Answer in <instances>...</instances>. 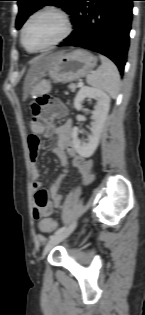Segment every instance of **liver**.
I'll use <instances>...</instances> for the list:
<instances>
[{
    "instance_id": "liver-1",
    "label": "liver",
    "mask_w": 145,
    "mask_h": 315,
    "mask_svg": "<svg viewBox=\"0 0 145 315\" xmlns=\"http://www.w3.org/2000/svg\"><path fill=\"white\" fill-rule=\"evenodd\" d=\"M60 54L55 53L48 56H41L34 61L24 81V98L34 89L36 83Z\"/></svg>"
}]
</instances>
